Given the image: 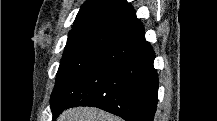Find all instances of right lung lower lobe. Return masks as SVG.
Returning a JSON list of instances; mask_svg holds the SVG:
<instances>
[{
    "label": "right lung lower lobe",
    "mask_w": 217,
    "mask_h": 121,
    "mask_svg": "<svg viewBox=\"0 0 217 121\" xmlns=\"http://www.w3.org/2000/svg\"><path fill=\"white\" fill-rule=\"evenodd\" d=\"M154 58L142 23L134 19L90 67L51 99L53 119L66 108L92 106L127 121H153L159 84Z\"/></svg>",
    "instance_id": "right-lung-lower-lobe-1"
}]
</instances>
